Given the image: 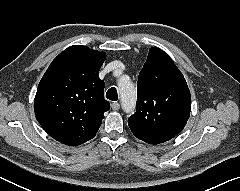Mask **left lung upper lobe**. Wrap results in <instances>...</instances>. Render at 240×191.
I'll use <instances>...</instances> for the list:
<instances>
[{"instance_id":"1","label":"left lung upper lobe","mask_w":240,"mask_h":191,"mask_svg":"<svg viewBox=\"0 0 240 191\" xmlns=\"http://www.w3.org/2000/svg\"><path fill=\"white\" fill-rule=\"evenodd\" d=\"M191 95L184 76L161 49L149 51L137 83V111L128 119L132 133L150 144L166 142L187 123Z\"/></svg>"}]
</instances>
